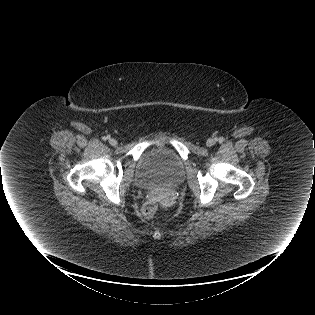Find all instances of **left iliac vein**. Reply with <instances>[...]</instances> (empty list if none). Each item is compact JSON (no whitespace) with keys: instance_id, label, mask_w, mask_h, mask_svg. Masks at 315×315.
<instances>
[{"instance_id":"obj_1","label":"left iliac vein","mask_w":315,"mask_h":315,"mask_svg":"<svg viewBox=\"0 0 315 315\" xmlns=\"http://www.w3.org/2000/svg\"><path fill=\"white\" fill-rule=\"evenodd\" d=\"M206 144H207V146H212L215 144V140L214 139H208Z\"/></svg>"}]
</instances>
